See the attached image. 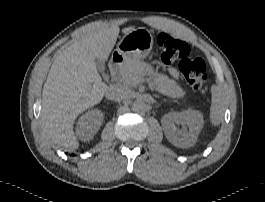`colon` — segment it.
<instances>
[{
    "label": "colon",
    "mask_w": 265,
    "mask_h": 202,
    "mask_svg": "<svg viewBox=\"0 0 265 202\" xmlns=\"http://www.w3.org/2000/svg\"><path fill=\"white\" fill-rule=\"evenodd\" d=\"M160 59L162 62H180V71L192 89L203 95L204 82L207 79L205 63L200 58H190V49L186 42L176 39L168 33H160L157 38Z\"/></svg>",
    "instance_id": "5ec220e1"
}]
</instances>
